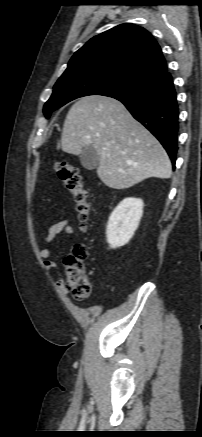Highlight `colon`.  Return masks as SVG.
<instances>
[{"instance_id":"1","label":"colon","mask_w":202,"mask_h":437,"mask_svg":"<svg viewBox=\"0 0 202 437\" xmlns=\"http://www.w3.org/2000/svg\"><path fill=\"white\" fill-rule=\"evenodd\" d=\"M55 171L64 188L72 195L81 229L85 231L92 206L79 170L70 162L62 160L56 162ZM87 255L86 247L82 244H76L64 261L65 287L76 299H85L91 294V283L85 267Z\"/></svg>"}]
</instances>
